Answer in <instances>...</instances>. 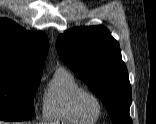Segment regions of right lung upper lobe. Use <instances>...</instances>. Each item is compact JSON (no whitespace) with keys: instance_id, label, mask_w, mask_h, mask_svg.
Segmentation results:
<instances>
[{"instance_id":"right-lung-upper-lobe-1","label":"right lung upper lobe","mask_w":156,"mask_h":124,"mask_svg":"<svg viewBox=\"0 0 156 124\" xmlns=\"http://www.w3.org/2000/svg\"><path fill=\"white\" fill-rule=\"evenodd\" d=\"M48 49L43 32L27 31L10 19H0V69L40 74Z\"/></svg>"}]
</instances>
